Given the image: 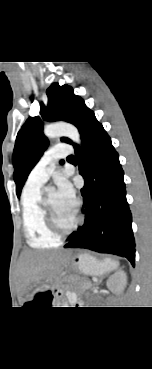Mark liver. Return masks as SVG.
<instances>
[{
    "instance_id": "1",
    "label": "liver",
    "mask_w": 152,
    "mask_h": 369,
    "mask_svg": "<svg viewBox=\"0 0 152 369\" xmlns=\"http://www.w3.org/2000/svg\"><path fill=\"white\" fill-rule=\"evenodd\" d=\"M66 254L62 251H24L19 260L20 275L24 286L35 281H42L46 277L58 272L65 262Z\"/></svg>"
}]
</instances>
